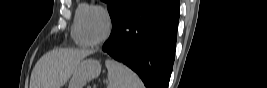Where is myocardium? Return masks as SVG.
I'll return each instance as SVG.
<instances>
[{
	"label": "myocardium",
	"instance_id": "myocardium-1",
	"mask_svg": "<svg viewBox=\"0 0 267 88\" xmlns=\"http://www.w3.org/2000/svg\"><path fill=\"white\" fill-rule=\"evenodd\" d=\"M91 11H98L100 12L104 18H105V21H106V32L104 34V36L99 40V41H96V42H91L87 39L86 35H85V31H84V22H85V19L86 17L88 16V14L91 12ZM111 30H112V18L109 14V12L107 11V9L101 7V6H93L89 9H87L81 16V20H80V26H79V32H80V35H81V38L82 40L84 41V43L87 45V46H99L101 44H103L109 37L110 33H111Z\"/></svg>",
	"mask_w": 267,
	"mask_h": 88
}]
</instances>
